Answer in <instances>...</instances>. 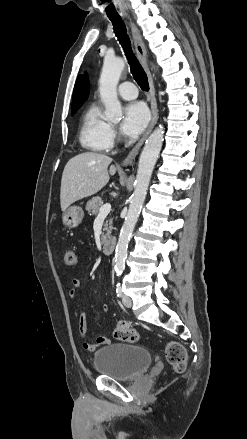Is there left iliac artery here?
I'll use <instances>...</instances> for the list:
<instances>
[{
    "label": "left iliac artery",
    "mask_w": 247,
    "mask_h": 439,
    "mask_svg": "<svg viewBox=\"0 0 247 439\" xmlns=\"http://www.w3.org/2000/svg\"><path fill=\"white\" fill-rule=\"evenodd\" d=\"M116 293H117V296H118V297H121V296H122L123 289H122V286H121L120 284H117V287H116Z\"/></svg>",
    "instance_id": "44dca946"
}]
</instances>
